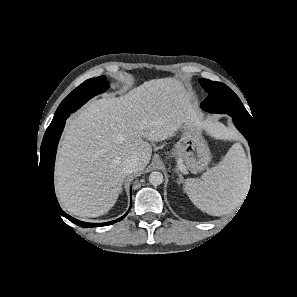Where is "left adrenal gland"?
<instances>
[{
  "label": "left adrenal gland",
  "instance_id": "obj_1",
  "mask_svg": "<svg viewBox=\"0 0 297 297\" xmlns=\"http://www.w3.org/2000/svg\"><path fill=\"white\" fill-rule=\"evenodd\" d=\"M174 171L178 174L179 176V180L177 181L178 184H184V177L182 176V174L180 173V171L178 169H174ZM185 191V190H184ZM186 192V191H185Z\"/></svg>",
  "mask_w": 297,
  "mask_h": 297
}]
</instances>
